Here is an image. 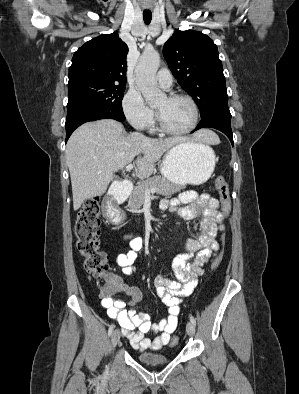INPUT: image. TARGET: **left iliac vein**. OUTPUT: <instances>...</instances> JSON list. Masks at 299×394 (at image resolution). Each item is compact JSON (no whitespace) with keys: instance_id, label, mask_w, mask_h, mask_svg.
Masks as SVG:
<instances>
[{"instance_id":"1","label":"left iliac vein","mask_w":299,"mask_h":394,"mask_svg":"<svg viewBox=\"0 0 299 394\" xmlns=\"http://www.w3.org/2000/svg\"><path fill=\"white\" fill-rule=\"evenodd\" d=\"M186 332L189 336H193L195 334V325L192 322L187 323Z\"/></svg>"}]
</instances>
